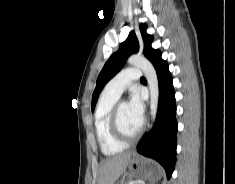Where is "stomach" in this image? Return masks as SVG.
<instances>
[{"label":"stomach","mask_w":235,"mask_h":184,"mask_svg":"<svg viewBox=\"0 0 235 184\" xmlns=\"http://www.w3.org/2000/svg\"><path fill=\"white\" fill-rule=\"evenodd\" d=\"M143 158L138 154H132L128 168L132 176L135 178H148V180H159L162 176L161 168H158L156 164H147V166H141ZM117 184H124L123 180L117 182Z\"/></svg>","instance_id":"obj_1"}]
</instances>
